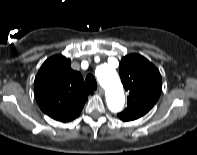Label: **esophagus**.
I'll list each match as a JSON object with an SVG mask.
<instances>
[{
  "label": "esophagus",
  "mask_w": 197,
  "mask_h": 155,
  "mask_svg": "<svg viewBox=\"0 0 197 155\" xmlns=\"http://www.w3.org/2000/svg\"><path fill=\"white\" fill-rule=\"evenodd\" d=\"M99 95H103L104 94V90L102 87H99L96 91Z\"/></svg>",
  "instance_id": "1"
}]
</instances>
